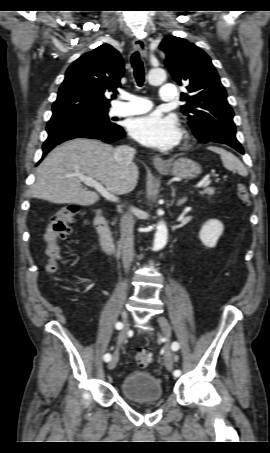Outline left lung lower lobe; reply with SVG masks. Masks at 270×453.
I'll return each instance as SVG.
<instances>
[{
  "label": "left lung lower lobe",
  "mask_w": 270,
  "mask_h": 453,
  "mask_svg": "<svg viewBox=\"0 0 270 453\" xmlns=\"http://www.w3.org/2000/svg\"><path fill=\"white\" fill-rule=\"evenodd\" d=\"M229 146H231L232 148L236 149L237 151H239L240 153H244V150L242 148V146L240 145V143L238 141L236 142H228V143H225Z\"/></svg>",
  "instance_id": "left-lung-lower-lobe-1"
}]
</instances>
